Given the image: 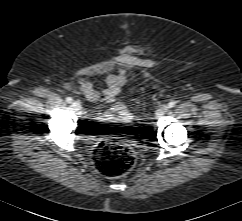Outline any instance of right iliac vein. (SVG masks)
Instances as JSON below:
<instances>
[{"label": "right iliac vein", "mask_w": 242, "mask_h": 221, "mask_svg": "<svg viewBox=\"0 0 242 221\" xmlns=\"http://www.w3.org/2000/svg\"><path fill=\"white\" fill-rule=\"evenodd\" d=\"M72 107L74 108L75 111H79L80 110V104L78 102H73Z\"/></svg>", "instance_id": "right-iliac-vein-1"}]
</instances>
